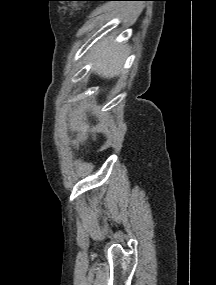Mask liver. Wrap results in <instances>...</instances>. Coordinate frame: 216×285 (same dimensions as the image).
<instances>
[{
    "mask_svg": "<svg viewBox=\"0 0 216 285\" xmlns=\"http://www.w3.org/2000/svg\"><path fill=\"white\" fill-rule=\"evenodd\" d=\"M126 55L127 48L125 46H112L111 41L105 39L96 47L94 57L97 62L93 70L101 77L112 78L118 74ZM72 123L81 131H86L88 128V125L80 117L73 119Z\"/></svg>",
    "mask_w": 216,
    "mask_h": 285,
    "instance_id": "1",
    "label": "liver"
}]
</instances>
